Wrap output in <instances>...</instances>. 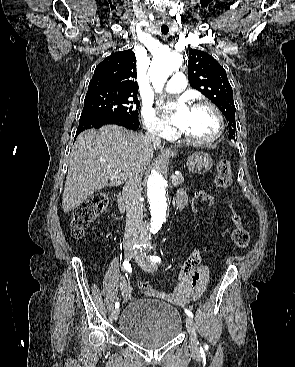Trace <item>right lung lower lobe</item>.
Returning a JSON list of instances; mask_svg holds the SVG:
<instances>
[{"mask_svg": "<svg viewBox=\"0 0 295 367\" xmlns=\"http://www.w3.org/2000/svg\"><path fill=\"white\" fill-rule=\"evenodd\" d=\"M106 124H115L122 127H125L127 129L137 130L139 127V121L137 118L132 117H112V118H100V119H89L80 121L79 126L76 131V136L90 128H100L103 125Z\"/></svg>", "mask_w": 295, "mask_h": 367, "instance_id": "98d812e1", "label": "right lung lower lobe"}]
</instances>
